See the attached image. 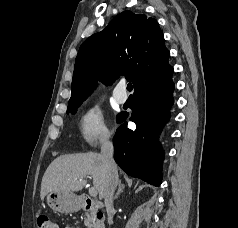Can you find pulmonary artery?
<instances>
[{
    "label": "pulmonary artery",
    "instance_id": "1",
    "mask_svg": "<svg viewBox=\"0 0 238 228\" xmlns=\"http://www.w3.org/2000/svg\"><path fill=\"white\" fill-rule=\"evenodd\" d=\"M114 99L119 103L123 104L127 100V94L125 93L124 83H119L113 91Z\"/></svg>",
    "mask_w": 238,
    "mask_h": 228
}]
</instances>
